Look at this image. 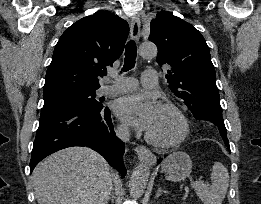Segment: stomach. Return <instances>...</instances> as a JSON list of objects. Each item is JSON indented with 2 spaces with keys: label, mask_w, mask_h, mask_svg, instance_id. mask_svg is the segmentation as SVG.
I'll return each mask as SVG.
<instances>
[{
  "label": "stomach",
  "mask_w": 261,
  "mask_h": 204,
  "mask_svg": "<svg viewBox=\"0 0 261 204\" xmlns=\"http://www.w3.org/2000/svg\"><path fill=\"white\" fill-rule=\"evenodd\" d=\"M192 170V161L185 152H174L170 154L162 165V171L168 180L182 181L186 179Z\"/></svg>",
  "instance_id": "1"
}]
</instances>
